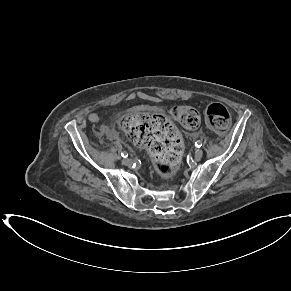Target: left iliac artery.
Returning a JSON list of instances; mask_svg holds the SVG:
<instances>
[{
    "instance_id": "1",
    "label": "left iliac artery",
    "mask_w": 291,
    "mask_h": 291,
    "mask_svg": "<svg viewBox=\"0 0 291 291\" xmlns=\"http://www.w3.org/2000/svg\"><path fill=\"white\" fill-rule=\"evenodd\" d=\"M195 146H196L197 148H200V147L202 146V142H201V141H196V142H195Z\"/></svg>"
}]
</instances>
